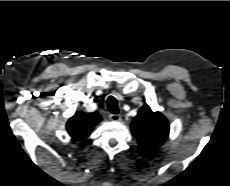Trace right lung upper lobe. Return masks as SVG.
<instances>
[{"mask_svg":"<svg viewBox=\"0 0 230 186\" xmlns=\"http://www.w3.org/2000/svg\"><path fill=\"white\" fill-rule=\"evenodd\" d=\"M101 121L98 113H84L78 111L72 116L66 125L67 131L74 139H84L91 133L93 127Z\"/></svg>","mask_w":230,"mask_h":186,"instance_id":"1","label":"right lung upper lobe"}]
</instances>
